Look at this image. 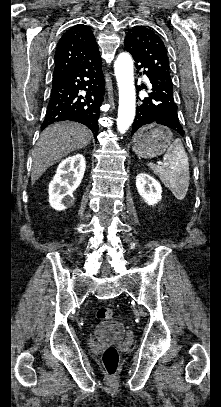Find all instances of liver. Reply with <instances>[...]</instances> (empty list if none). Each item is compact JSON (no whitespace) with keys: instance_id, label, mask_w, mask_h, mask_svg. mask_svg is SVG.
<instances>
[{"instance_id":"liver-1","label":"liver","mask_w":221,"mask_h":407,"mask_svg":"<svg viewBox=\"0 0 221 407\" xmlns=\"http://www.w3.org/2000/svg\"><path fill=\"white\" fill-rule=\"evenodd\" d=\"M91 138L87 127L74 122L55 123L44 129L32 154V184L54 163L87 146Z\"/></svg>"}]
</instances>
